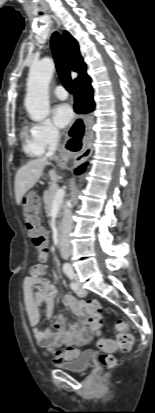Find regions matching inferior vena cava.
<instances>
[{
  "mask_svg": "<svg viewBox=\"0 0 155 413\" xmlns=\"http://www.w3.org/2000/svg\"><path fill=\"white\" fill-rule=\"evenodd\" d=\"M59 142V134L58 132L54 131L50 134L49 137V147H48V152L46 154V157H49L52 159V156L54 155L57 146ZM72 206L70 204L67 205L64 217L62 219L61 223V239H60V244H61V256L63 259L67 260L70 256V242H69V234L72 230L73 226V220H72V211H71Z\"/></svg>",
  "mask_w": 155,
  "mask_h": 413,
  "instance_id": "1",
  "label": "inferior vena cava"
}]
</instances>
